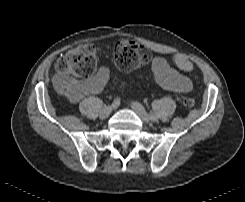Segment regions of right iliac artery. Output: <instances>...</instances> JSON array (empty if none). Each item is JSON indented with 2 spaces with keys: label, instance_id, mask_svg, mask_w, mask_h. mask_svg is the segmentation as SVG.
<instances>
[{
  "label": "right iliac artery",
  "instance_id": "obj_1",
  "mask_svg": "<svg viewBox=\"0 0 245 202\" xmlns=\"http://www.w3.org/2000/svg\"><path fill=\"white\" fill-rule=\"evenodd\" d=\"M120 104V99L119 98H115L112 105L114 108L118 107Z\"/></svg>",
  "mask_w": 245,
  "mask_h": 202
}]
</instances>
